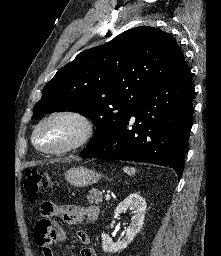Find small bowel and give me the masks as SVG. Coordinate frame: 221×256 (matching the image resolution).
<instances>
[{
	"mask_svg": "<svg viewBox=\"0 0 221 256\" xmlns=\"http://www.w3.org/2000/svg\"><path fill=\"white\" fill-rule=\"evenodd\" d=\"M98 207L59 205L53 202H44L41 205L42 218L34 228L35 243L41 248L43 256H54L53 244L65 241V232L53 218L59 217L68 225H76L84 220L95 221L98 217ZM77 237L85 247L79 256H98L94 248L90 246V237L83 231L77 232Z\"/></svg>",
	"mask_w": 221,
	"mask_h": 256,
	"instance_id": "1",
	"label": "small bowel"
}]
</instances>
